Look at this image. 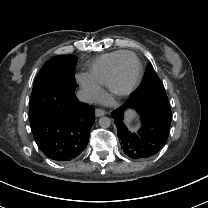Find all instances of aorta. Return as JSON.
Here are the masks:
<instances>
[{
    "mask_svg": "<svg viewBox=\"0 0 208 208\" xmlns=\"http://www.w3.org/2000/svg\"><path fill=\"white\" fill-rule=\"evenodd\" d=\"M99 125L102 127V128H108L110 125H111V120L110 118L108 117H101L99 119Z\"/></svg>",
    "mask_w": 208,
    "mask_h": 208,
    "instance_id": "762f6f07",
    "label": "aorta"
}]
</instances>
